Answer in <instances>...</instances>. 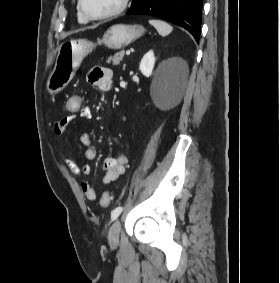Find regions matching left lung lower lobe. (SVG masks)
Masks as SVG:
<instances>
[{
  "label": "left lung lower lobe",
  "mask_w": 280,
  "mask_h": 283,
  "mask_svg": "<svg viewBox=\"0 0 280 283\" xmlns=\"http://www.w3.org/2000/svg\"><path fill=\"white\" fill-rule=\"evenodd\" d=\"M203 0H136L127 14L152 15L188 30L198 42Z\"/></svg>",
  "instance_id": "obj_1"
}]
</instances>
